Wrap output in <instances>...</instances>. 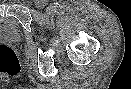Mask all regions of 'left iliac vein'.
<instances>
[{"instance_id": "4c4485c4", "label": "left iliac vein", "mask_w": 131, "mask_h": 89, "mask_svg": "<svg viewBox=\"0 0 131 89\" xmlns=\"http://www.w3.org/2000/svg\"><path fill=\"white\" fill-rule=\"evenodd\" d=\"M52 12H53L52 7H48V8H47V13H48V14H52Z\"/></svg>"}]
</instances>
